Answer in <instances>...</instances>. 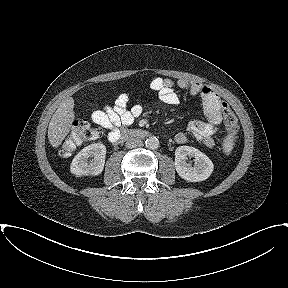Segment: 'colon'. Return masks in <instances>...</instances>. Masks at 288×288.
Instances as JSON below:
<instances>
[{"label":"colon","instance_id":"colon-1","mask_svg":"<svg viewBox=\"0 0 288 288\" xmlns=\"http://www.w3.org/2000/svg\"><path fill=\"white\" fill-rule=\"evenodd\" d=\"M221 113L228 135L231 140L235 142L238 135L237 119L226 103L221 104ZM100 135L101 131L93 127L86 120H76L73 122L71 130L63 142L61 153L63 155H69L81 144L95 140L99 138Z\"/></svg>","mask_w":288,"mask_h":288}]
</instances>
